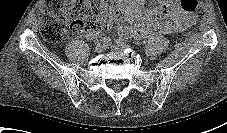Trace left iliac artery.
Instances as JSON below:
<instances>
[{
	"label": "left iliac artery",
	"instance_id": "1",
	"mask_svg": "<svg viewBox=\"0 0 227 133\" xmlns=\"http://www.w3.org/2000/svg\"><path fill=\"white\" fill-rule=\"evenodd\" d=\"M127 40L126 38H123V37H119L117 40H116V43L117 44H122V43H126Z\"/></svg>",
	"mask_w": 227,
	"mask_h": 133
}]
</instances>
